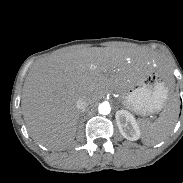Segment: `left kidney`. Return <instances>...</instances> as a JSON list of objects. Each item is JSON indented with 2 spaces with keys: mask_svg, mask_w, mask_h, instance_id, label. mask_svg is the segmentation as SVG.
<instances>
[{
  "mask_svg": "<svg viewBox=\"0 0 183 183\" xmlns=\"http://www.w3.org/2000/svg\"><path fill=\"white\" fill-rule=\"evenodd\" d=\"M117 126L124 138L136 141L140 138V129L135 117L127 110H118L115 115Z\"/></svg>",
  "mask_w": 183,
  "mask_h": 183,
  "instance_id": "5707ae66",
  "label": "left kidney"
}]
</instances>
